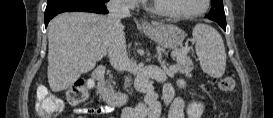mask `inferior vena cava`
I'll list each match as a JSON object with an SVG mask.
<instances>
[{
	"label": "inferior vena cava",
	"mask_w": 273,
	"mask_h": 118,
	"mask_svg": "<svg viewBox=\"0 0 273 118\" xmlns=\"http://www.w3.org/2000/svg\"><path fill=\"white\" fill-rule=\"evenodd\" d=\"M108 20L112 27V36L108 48L111 65L119 72L124 71L129 63L126 40L121 19L129 16V9L122 0H110L107 4Z\"/></svg>",
	"instance_id": "inferior-vena-cava-1"
}]
</instances>
